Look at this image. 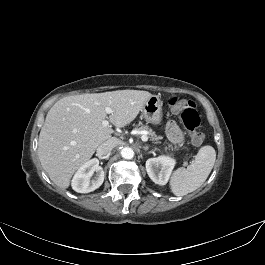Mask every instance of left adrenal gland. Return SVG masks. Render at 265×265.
<instances>
[{
    "mask_svg": "<svg viewBox=\"0 0 265 265\" xmlns=\"http://www.w3.org/2000/svg\"><path fill=\"white\" fill-rule=\"evenodd\" d=\"M144 150H145V151L148 150V147H144Z\"/></svg>",
    "mask_w": 265,
    "mask_h": 265,
    "instance_id": "1",
    "label": "left adrenal gland"
}]
</instances>
